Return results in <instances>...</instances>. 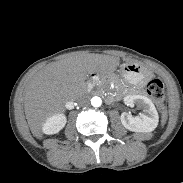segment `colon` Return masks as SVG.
<instances>
[{"instance_id": "5ec220e1", "label": "colon", "mask_w": 183, "mask_h": 183, "mask_svg": "<svg viewBox=\"0 0 183 183\" xmlns=\"http://www.w3.org/2000/svg\"><path fill=\"white\" fill-rule=\"evenodd\" d=\"M147 92L157 102L159 108L163 110L165 91L162 82L157 79L151 80L147 85Z\"/></svg>"}]
</instances>
